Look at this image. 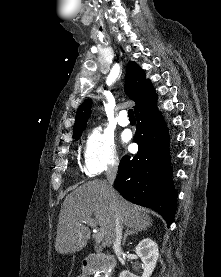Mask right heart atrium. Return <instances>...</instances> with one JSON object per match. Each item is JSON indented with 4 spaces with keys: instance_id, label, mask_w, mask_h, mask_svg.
Returning <instances> with one entry per match:
<instances>
[{
    "instance_id": "1",
    "label": "right heart atrium",
    "mask_w": 221,
    "mask_h": 277,
    "mask_svg": "<svg viewBox=\"0 0 221 277\" xmlns=\"http://www.w3.org/2000/svg\"><path fill=\"white\" fill-rule=\"evenodd\" d=\"M83 160L84 171L90 177L115 169L119 156L112 134L101 126L91 129L84 145Z\"/></svg>"
}]
</instances>
